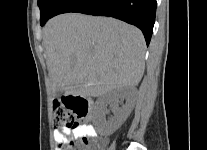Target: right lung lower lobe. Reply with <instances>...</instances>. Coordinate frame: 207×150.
Returning a JSON list of instances; mask_svg holds the SVG:
<instances>
[{"label": "right lung lower lobe", "mask_w": 207, "mask_h": 150, "mask_svg": "<svg viewBox=\"0 0 207 150\" xmlns=\"http://www.w3.org/2000/svg\"><path fill=\"white\" fill-rule=\"evenodd\" d=\"M66 12L123 20L141 29L149 45L155 22L156 0H63L53 16Z\"/></svg>", "instance_id": "right-lung-lower-lobe-1"}]
</instances>
